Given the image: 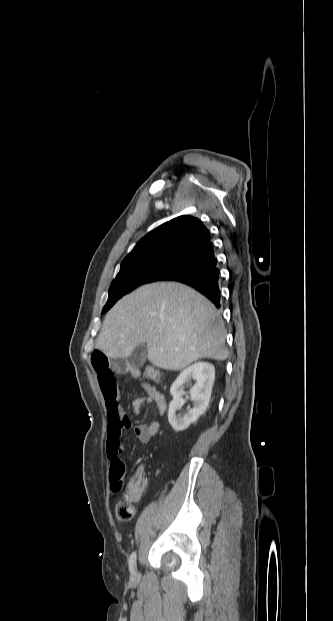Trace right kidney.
<instances>
[{"label":"right kidney","mask_w":333,"mask_h":621,"mask_svg":"<svg viewBox=\"0 0 333 621\" xmlns=\"http://www.w3.org/2000/svg\"><path fill=\"white\" fill-rule=\"evenodd\" d=\"M214 379L215 368L208 362H196L180 373L170 388L173 399L168 410V421L175 431L185 430L205 412L210 401ZM191 380L195 381L190 389L193 407L183 416L177 415L176 410L180 407L181 398L185 394L184 385Z\"/></svg>","instance_id":"obj_1"}]
</instances>
